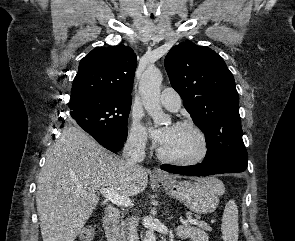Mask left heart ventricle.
<instances>
[{
	"instance_id": "left-heart-ventricle-1",
	"label": "left heart ventricle",
	"mask_w": 295,
	"mask_h": 241,
	"mask_svg": "<svg viewBox=\"0 0 295 241\" xmlns=\"http://www.w3.org/2000/svg\"><path fill=\"white\" fill-rule=\"evenodd\" d=\"M161 149L170 157L190 159L199 153L200 143L192 130L172 127V134Z\"/></svg>"
}]
</instances>
